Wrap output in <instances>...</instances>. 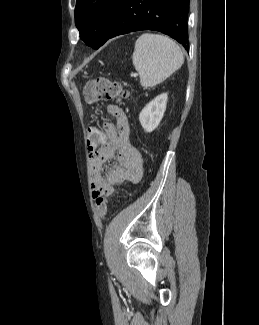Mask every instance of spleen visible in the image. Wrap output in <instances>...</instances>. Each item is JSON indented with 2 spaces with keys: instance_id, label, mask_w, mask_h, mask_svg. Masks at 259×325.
Returning a JSON list of instances; mask_svg holds the SVG:
<instances>
[{
  "instance_id": "obj_1",
  "label": "spleen",
  "mask_w": 259,
  "mask_h": 325,
  "mask_svg": "<svg viewBox=\"0 0 259 325\" xmlns=\"http://www.w3.org/2000/svg\"><path fill=\"white\" fill-rule=\"evenodd\" d=\"M132 60L141 86L147 88L162 83L177 71L184 62V56L169 37L144 33L135 42Z\"/></svg>"
}]
</instances>
